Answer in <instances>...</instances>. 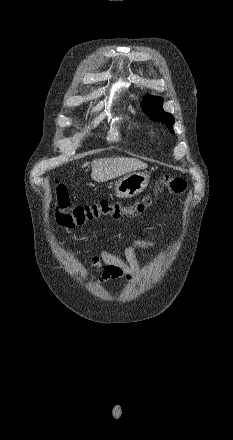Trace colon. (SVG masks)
Listing matches in <instances>:
<instances>
[{"mask_svg": "<svg viewBox=\"0 0 233 440\" xmlns=\"http://www.w3.org/2000/svg\"><path fill=\"white\" fill-rule=\"evenodd\" d=\"M53 185L56 199L55 218L57 223L64 228L82 227L103 216H109L115 220L124 216L135 217L141 215L147 206L151 204L153 197L162 191L167 190L172 194L180 195L186 189V182L183 178L164 174L156 178L154 195H147L131 205L100 200L85 206L70 207L66 187L58 182H54Z\"/></svg>", "mask_w": 233, "mask_h": 440, "instance_id": "obj_1", "label": "colon"}]
</instances>
